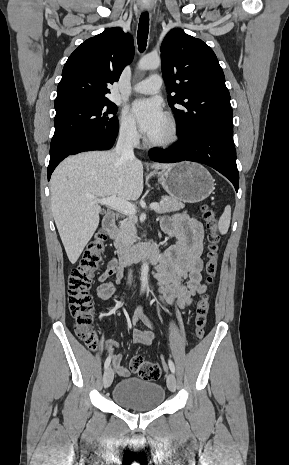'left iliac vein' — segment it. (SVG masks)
I'll list each match as a JSON object with an SVG mask.
<instances>
[{
  "mask_svg": "<svg viewBox=\"0 0 289 465\" xmlns=\"http://www.w3.org/2000/svg\"><path fill=\"white\" fill-rule=\"evenodd\" d=\"M167 386L171 392H174L176 390L177 381L173 373L167 375Z\"/></svg>",
  "mask_w": 289,
  "mask_h": 465,
  "instance_id": "left-iliac-vein-1",
  "label": "left iliac vein"
}]
</instances>
